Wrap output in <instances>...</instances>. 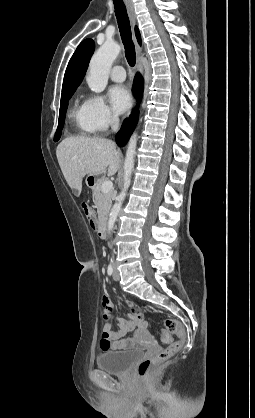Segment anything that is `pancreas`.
<instances>
[{"mask_svg":"<svg viewBox=\"0 0 255 418\" xmlns=\"http://www.w3.org/2000/svg\"><path fill=\"white\" fill-rule=\"evenodd\" d=\"M107 180V178L102 177L96 187L93 189L94 204L97 208L98 218L103 219L109 213L112 204V192H103L102 184Z\"/></svg>","mask_w":255,"mask_h":418,"instance_id":"pancreas-1","label":"pancreas"}]
</instances>
